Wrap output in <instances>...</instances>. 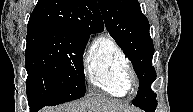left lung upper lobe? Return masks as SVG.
Instances as JSON below:
<instances>
[{"mask_svg":"<svg viewBox=\"0 0 193 112\" xmlns=\"http://www.w3.org/2000/svg\"><path fill=\"white\" fill-rule=\"evenodd\" d=\"M110 35L133 64L139 78V90L133 104L143 108L156 101L151 84L156 79L152 66L154 54L150 25L137 0H98Z\"/></svg>","mask_w":193,"mask_h":112,"instance_id":"left-lung-upper-lobe-1","label":"left lung upper lobe"}]
</instances>
